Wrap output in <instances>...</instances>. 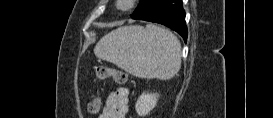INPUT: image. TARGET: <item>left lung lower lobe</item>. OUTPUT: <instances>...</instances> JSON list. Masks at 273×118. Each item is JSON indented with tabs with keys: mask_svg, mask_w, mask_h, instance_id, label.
<instances>
[{
	"mask_svg": "<svg viewBox=\"0 0 273 118\" xmlns=\"http://www.w3.org/2000/svg\"><path fill=\"white\" fill-rule=\"evenodd\" d=\"M141 20L165 25L179 33L185 42L187 41L188 32L182 0H165L156 11Z\"/></svg>",
	"mask_w": 273,
	"mask_h": 118,
	"instance_id": "0a47b994",
	"label": "left lung lower lobe"
}]
</instances>
